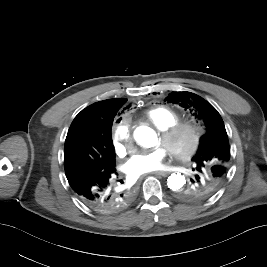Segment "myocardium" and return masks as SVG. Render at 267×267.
<instances>
[{
  "instance_id": "1",
  "label": "myocardium",
  "mask_w": 267,
  "mask_h": 267,
  "mask_svg": "<svg viewBox=\"0 0 267 267\" xmlns=\"http://www.w3.org/2000/svg\"><path fill=\"white\" fill-rule=\"evenodd\" d=\"M182 131H187L190 134V141L186 148L180 149L172 144ZM200 128L189 121H177L169 127L161 130L160 140L168 151L180 160L190 159L197 151L201 141Z\"/></svg>"
}]
</instances>
